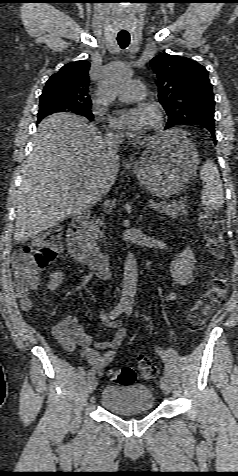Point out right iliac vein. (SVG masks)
Segmentation results:
<instances>
[{"label": "right iliac vein", "mask_w": 238, "mask_h": 476, "mask_svg": "<svg viewBox=\"0 0 238 476\" xmlns=\"http://www.w3.org/2000/svg\"><path fill=\"white\" fill-rule=\"evenodd\" d=\"M98 384V379L95 376H92L88 380V392L91 394L93 391L96 389V386Z\"/></svg>", "instance_id": "obj_1"}]
</instances>
